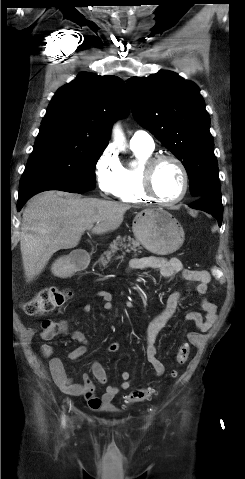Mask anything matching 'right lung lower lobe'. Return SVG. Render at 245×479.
Segmentation results:
<instances>
[{
	"label": "right lung lower lobe",
	"mask_w": 245,
	"mask_h": 479,
	"mask_svg": "<svg viewBox=\"0 0 245 479\" xmlns=\"http://www.w3.org/2000/svg\"><path fill=\"white\" fill-rule=\"evenodd\" d=\"M46 190H61V191H66L71 193H82V192L88 191L85 189L70 187V186L62 185L58 183H49V182L27 185L19 189V199L17 202V210L20 211V209L26 203V201L29 198H31L33 195Z\"/></svg>",
	"instance_id": "right-lung-lower-lobe-1"
}]
</instances>
